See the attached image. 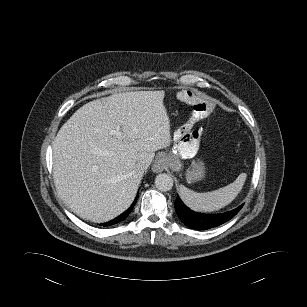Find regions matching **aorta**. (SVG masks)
I'll return each mask as SVG.
<instances>
[{"label":"aorta","instance_id":"obj_1","mask_svg":"<svg viewBox=\"0 0 307 307\" xmlns=\"http://www.w3.org/2000/svg\"><path fill=\"white\" fill-rule=\"evenodd\" d=\"M155 186L162 192L169 191L173 187V179L166 173L159 174L155 178Z\"/></svg>","mask_w":307,"mask_h":307}]
</instances>
